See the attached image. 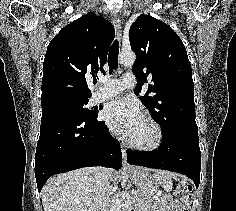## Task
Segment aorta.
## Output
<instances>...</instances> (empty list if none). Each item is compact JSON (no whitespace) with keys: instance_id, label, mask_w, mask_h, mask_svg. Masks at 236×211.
Wrapping results in <instances>:
<instances>
[{"instance_id":"obj_1","label":"aorta","mask_w":236,"mask_h":211,"mask_svg":"<svg viewBox=\"0 0 236 211\" xmlns=\"http://www.w3.org/2000/svg\"><path fill=\"white\" fill-rule=\"evenodd\" d=\"M136 60V55L129 51V52H122L119 55V63L124 66H132ZM122 199L120 198V194H116L111 202L110 211H121L122 209Z\"/></svg>"}]
</instances>
